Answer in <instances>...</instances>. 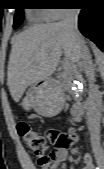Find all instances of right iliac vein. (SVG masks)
I'll list each match as a JSON object with an SVG mask.
<instances>
[{
    "label": "right iliac vein",
    "mask_w": 104,
    "mask_h": 169,
    "mask_svg": "<svg viewBox=\"0 0 104 169\" xmlns=\"http://www.w3.org/2000/svg\"><path fill=\"white\" fill-rule=\"evenodd\" d=\"M93 151L95 154V158L97 161V164L100 169H104V151L98 144L93 145Z\"/></svg>",
    "instance_id": "1"
}]
</instances>
